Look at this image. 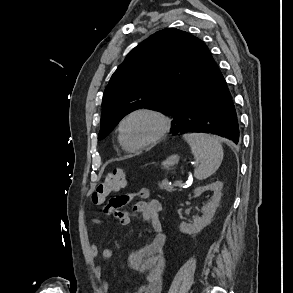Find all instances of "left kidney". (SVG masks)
Masks as SVG:
<instances>
[{"mask_svg":"<svg viewBox=\"0 0 293 293\" xmlns=\"http://www.w3.org/2000/svg\"><path fill=\"white\" fill-rule=\"evenodd\" d=\"M222 188H223V183L220 181H216L214 183H211L205 186L197 187L194 190L195 194H199L201 192L210 190L214 192V195L212 200L208 204L203 206L202 208L203 215L201 217L195 216L192 223L187 224L185 222H182L179 225V229L182 233L189 234V235L195 234L200 232L204 227L210 224L215 214V211L217 207L219 206V202L221 200V195H222L221 194Z\"/></svg>","mask_w":293,"mask_h":293,"instance_id":"left-kidney-1","label":"left kidney"}]
</instances>
